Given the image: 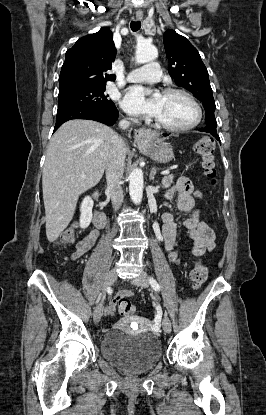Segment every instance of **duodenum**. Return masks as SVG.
<instances>
[{"instance_id":"obj_1","label":"duodenum","mask_w":266,"mask_h":415,"mask_svg":"<svg viewBox=\"0 0 266 415\" xmlns=\"http://www.w3.org/2000/svg\"><path fill=\"white\" fill-rule=\"evenodd\" d=\"M98 196H99L98 192L94 193L93 194L94 200H97ZM93 223L99 228L104 227L106 224L105 213L100 210H95L93 213Z\"/></svg>"}]
</instances>
